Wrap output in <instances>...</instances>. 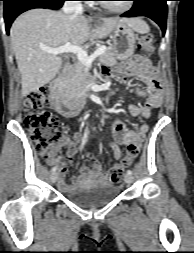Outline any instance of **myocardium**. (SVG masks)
<instances>
[{"instance_id":"obj_1","label":"myocardium","mask_w":194,"mask_h":253,"mask_svg":"<svg viewBox=\"0 0 194 253\" xmlns=\"http://www.w3.org/2000/svg\"><path fill=\"white\" fill-rule=\"evenodd\" d=\"M101 6L110 13L124 14L132 8L133 2H132V0H128V1H126L125 5L122 7H113V6H110L106 3H103Z\"/></svg>"}]
</instances>
